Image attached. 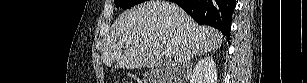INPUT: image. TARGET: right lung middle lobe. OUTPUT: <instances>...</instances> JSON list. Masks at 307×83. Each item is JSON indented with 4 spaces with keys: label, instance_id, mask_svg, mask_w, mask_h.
<instances>
[{
    "label": "right lung middle lobe",
    "instance_id": "obj_1",
    "mask_svg": "<svg viewBox=\"0 0 307 83\" xmlns=\"http://www.w3.org/2000/svg\"><path fill=\"white\" fill-rule=\"evenodd\" d=\"M144 0H115L116 7L122 9H128L136 4L142 3Z\"/></svg>",
    "mask_w": 307,
    "mask_h": 83
}]
</instances>
